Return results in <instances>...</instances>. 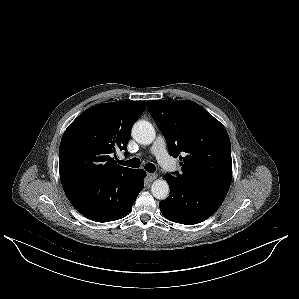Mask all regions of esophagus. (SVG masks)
Masks as SVG:
<instances>
[{
	"instance_id": "esophagus-1",
	"label": "esophagus",
	"mask_w": 299,
	"mask_h": 299,
	"mask_svg": "<svg viewBox=\"0 0 299 299\" xmlns=\"http://www.w3.org/2000/svg\"><path fill=\"white\" fill-rule=\"evenodd\" d=\"M147 178H148V180L150 181V182H152L153 180H155L156 178H157V174H155V173H148L147 174Z\"/></svg>"
}]
</instances>
